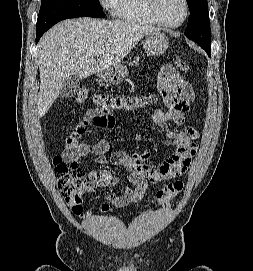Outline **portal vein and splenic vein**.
Masks as SVG:
<instances>
[{
    "label": "portal vein and splenic vein",
    "instance_id": "1",
    "mask_svg": "<svg viewBox=\"0 0 253 271\" xmlns=\"http://www.w3.org/2000/svg\"><path fill=\"white\" fill-rule=\"evenodd\" d=\"M102 52H103L102 49H98V50L95 51V53H96L97 55L101 54Z\"/></svg>",
    "mask_w": 253,
    "mask_h": 271
}]
</instances>
